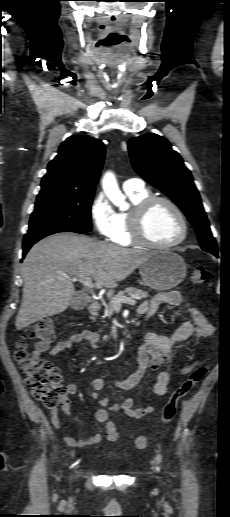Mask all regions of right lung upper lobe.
Returning <instances> with one entry per match:
<instances>
[{
	"label": "right lung upper lobe",
	"mask_w": 230,
	"mask_h": 517,
	"mask_svg": "<svg viewBox=\"0 0 230 517\" xmlns=\"http://www.w3.org/2000/svg\"><path fill=\"white\" fill-rule=\"evenodd\" d=\"M104 157L105 146L101 140L81 135L67 138L48 164L37 197L94 192Z\"/></svg>",
	"instance_id": "1"
}]
</instances>
